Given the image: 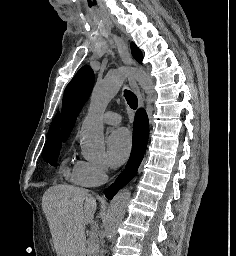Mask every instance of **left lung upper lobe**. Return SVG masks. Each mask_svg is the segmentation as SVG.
Wrapping results in <instances>:
<instances>
[{
    "label": "left lung upper lobe",
    "mask_w": 236,
    "mask_h": 256,
    "mask_svg": "<svg viewBox=\"0 0 236 256\" xmlns=\"http://www.w3.org/2000/svg\"><path fill=\"white\" fill-rule=\"evenodd\" d=\"M133 57L142 61V53L135 44H131ZM94 85V73L89 66L82 67L67 85L62 103V135L65 142L71 133L75 121Z\"/></svg>",
    "instance_id": "1"
}]
</instances>
